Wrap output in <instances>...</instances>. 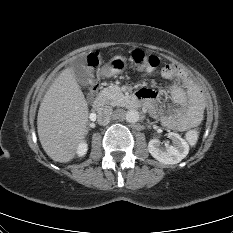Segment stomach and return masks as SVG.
I'll return each instance as SVG.
<instances>
[{
  "label": "stomach",
  "mask_w": 233,
  "mask_h": 233,
  "mask_svg": "<svg viewBox=\"0 0 233 233\" xmlns=\"http://www.w3.org/2000/svg\"><path fill=\"white\" fill-rule=\"evenodd\" d=\"M126 60L122 56L113 57L105 66V72L107 75H115L122 73L126 69Z\"/></svg>",
  "instance_id": "obj_1"
}]
</instances>
